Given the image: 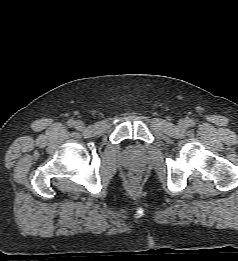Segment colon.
<instances>
[{"label":"colon","mask_w":238,"mask_h":261,"mask_svg":"<svg viewBox=\"0 0 238 261\" xmlns=\"http://www.w3.org/2000/svg\"><path fill=\"white\" fill-rule=\"evenodd\" d=\"M130 178L133 182H137L138 179H139V173L138 172H133L131 175H130Z\"/></svg>","instance_id":"5ec220e1"}]
</instances>
